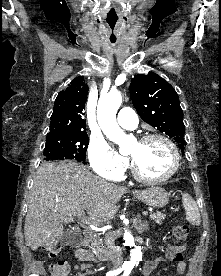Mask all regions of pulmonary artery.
<instances>
[{
    "instance_id": "e3ab8cb5",
    "label": "pulmonary artery",
    "mask_w": 221,
    "mask_h": 276,
    "mask_svg": "<svg viewBox=\"0 0 221 276\" xmlns=\"http://www.w3.org/2000/svg\"><path fill=\"white\" fill-rule=\"evenodd\" d=\"M117 122L123 128L135 129L138 125V117L131 108L125 107L119 111Z\"/></svg>"
}]
</instances>
